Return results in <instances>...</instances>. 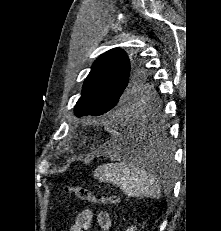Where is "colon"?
Masks as SVG:
<instances>
[{
	"label": "colon",
	"mask_w": 221,
	"mask_h": 231,
	"mask_svg": "<svg viewBox=\"0 0 221 231\" xmlns=\"http://www.w3.org/2000/svg\"><path fill=\"white\" fill-rule=\"evenodd\" d=\"M64 192L74 194L77 198L91 204H118L120 202L119 198L116 196L95 195L87 188L77 185L66 186Z\"/></svg>",
	"instance_id": "colon-1"
}]
</instances>
